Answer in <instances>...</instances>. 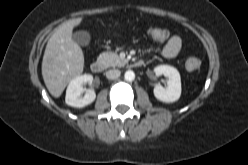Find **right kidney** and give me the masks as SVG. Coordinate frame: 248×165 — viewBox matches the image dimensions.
I'll return each instance as SVG.
<instances>
[{"label":"right kidney","mask_w":248,"mask_h":165,"mask_svg":"<svg viewBox=\"0 0 248 165\" xmlns=\"http://www.w3.org/2000/svg\"><path fill=\"white\" fill-rule=\"evenodd\" d=\"M92 81L93 76L90 74L80 75L72 79L66 90V104L77 108L91 104L96 98L94 90H87L84 97H81V94L84 92L83 84L92 83Z\"/></svg>","instance_id":"ca27d5eb"}]
</instances>
